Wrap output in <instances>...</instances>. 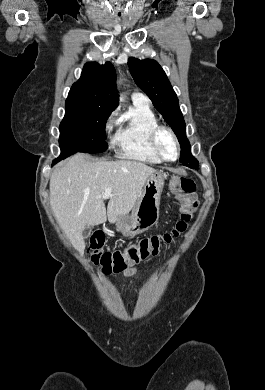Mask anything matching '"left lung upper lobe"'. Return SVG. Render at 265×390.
<instances>
[{
	"label": "left lung upper lobe",
	"mask_w": 265,
	"mask_h": 390,
	"mask_svg": "<svg viewBox=\"0 0 265 390\" xmlns=\"http://www.w3.org/2000/svg\"><path fill=\"white\" fill-rule=\"evenodd\" d=\"M130 73L135 83L148 95L154 107L162 114L176 134L181 146L180 162L198 169L199 162L191 155L190 143L186 137V125L179 108V102L165 72L152 59H128Z\"/></svg>",
	"instance_id": "1"
}]
</instances>
